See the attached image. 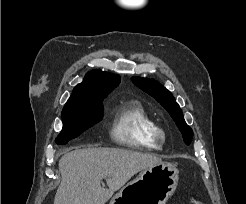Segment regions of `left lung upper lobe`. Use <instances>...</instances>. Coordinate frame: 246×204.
Wrapping results in <instances>:
<instances>
[{"label":"left lung upper lobe","instance_id":"obj_1","mask_svg":"<svg viewBox=\"0 0 246 204\" xmlns=\"http://www.w3.org/2000/svg\"><path fill=\"white\" fill-rule=\"evenodd\" d=\"M132 81L140 89L154 97L167 110L181 131L184 142L189 145L193 137V131L186 124L183 113L171 92L152 79L132 77Z\"/></svg>","mask_w":246,"mask_h":204}]
</instances>
